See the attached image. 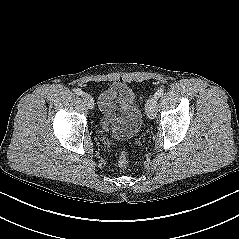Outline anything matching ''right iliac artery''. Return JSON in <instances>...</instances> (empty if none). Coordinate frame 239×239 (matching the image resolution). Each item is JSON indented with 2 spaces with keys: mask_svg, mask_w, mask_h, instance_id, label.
<instances>
[{
  "mask_svg": "<svg viewBox=\"0 0 239 239\" xmlns=\"http://www.w3.org/2000/svg\"><path fill=\"white\" fill-rule=\"evenodd\" d=\"M75 93H76L77 95H82V94H83V91H82L81 89L77 88V89H75Z\"/></svg>",
  "mask_w": 239,
  "mask_h": 239,
  "instance_id": "82829eb1",
  "label": "right iliac artery"
}]
</instances>
